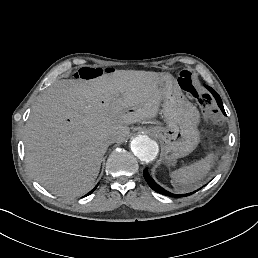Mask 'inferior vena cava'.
<instances>
[{
  "label": "inferior vena cava",
  "mask_w": 258,
  "mask_h": 258,
  "mask_svg": "<svg viewBox=\"0 0 258 258\" xmlns=\"http://www.w3.org/2000/svg\"><path fill=\"white\" fill-rule=\"evenodd\" d=\"M117 141V135L116 134H108L104 138V142L107 145L113 144Z\"/></svg>",
  "instance_id": "602c4592"
}]
</instances>
